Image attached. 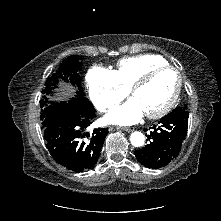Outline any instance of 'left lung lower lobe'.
<instances>
[{
    "instance_id": "1",
    "label": "left lung lower lobe",
    "mask_w": 221,
    "mask_h": 221,
    "mask_svg": "<svg viewBox=\"0 0 221 221\" xmlns=\"http://www.w3.org/2000/svg\"><path fill=\"white\" fill-rule=\"evenodd\" d=\"M188 117L186 108L177 107L161 118L146 135L150 142L135 151L137 160L146 167L158 169L176 158L187 134Z\"/></svg>"
}]
</instances>
